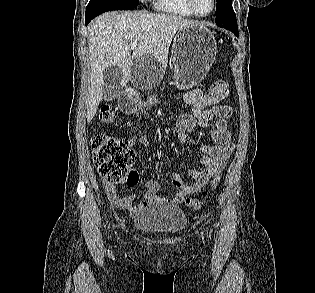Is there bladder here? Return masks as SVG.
Instances as JSON below:
<instances>
[{
  "label": "bladder",
  "mask_w": 315,
  "mask_h": 293,
  "mask_svg": "<svg viewBox=\"0 0 315 293\" xmlns=\"http://www.w3.org/2000/svg\"><path fill=\"white\" fill-rule=\"evenodd\" d=\"M134 227L143 233L177 236L187 225V216L178 206L153 203L134 218Z\"/></svg>",
  "instance_id": "31cf9c89"
}]
</instances>
